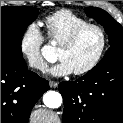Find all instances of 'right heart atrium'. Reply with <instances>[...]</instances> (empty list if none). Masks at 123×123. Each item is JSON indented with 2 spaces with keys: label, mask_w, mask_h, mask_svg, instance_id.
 Here are the masks:
<instances>
[{
  "label": "right heart atrium",
  "mask_w": 123,
  "mask_h": 123,
  "mask_svg": "<svg viewBox=\"0 0 123 123\" xmlns=\"http://www.w3.org/2000/svg\"><path fill=\"white\" fill-rule=\"evenodd\" d=\"M43 43L44 36L37 24H28L21 34L19 48L28 65L37 71L46 68V60L42 54Z\"/></svg>",
  "instance_id": "obj_1"
}]
</instances>
